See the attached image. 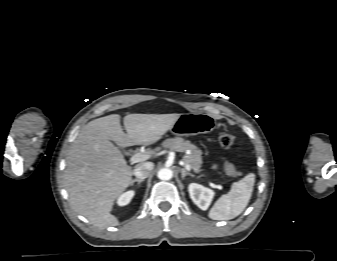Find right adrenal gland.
I'll return each instance as SVG.
<instances>
[{"instance_id":"obj_1","label":"right adrenal gland","mask_w":337,"mask_h":261,"mask_svg":"<svg viewBox=\"0 0 337 261\" xmlns=\"http://www.w3.org/2000/svg\"><path fill=\"white\" fill-rule=\"evenodd\" d=\"M143 181H144V179L136 178V179L132 180L130 184L133 185L135 182H137L140 185V183L143 182Z\"/></svg>"}]
</instances>
